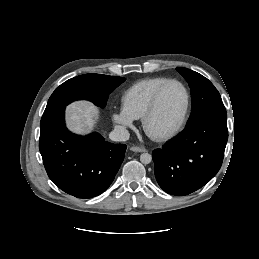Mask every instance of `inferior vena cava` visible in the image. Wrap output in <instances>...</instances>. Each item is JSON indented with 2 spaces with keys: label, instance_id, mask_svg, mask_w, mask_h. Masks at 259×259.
<instances>
[{
  "label": "inferior vena cava",
  "instance_id": "obj_1",
  "mask_svg": "<svg viewBox=\"0 0 259 259\" xmlns=\"http://www.w3.org/2000/svg\"><path fill=\"white\" fill-rule=\"evenodd\" d=\"M130 137V134L126 128L123 126H115L114 130L110 132L109 138L112 141H127Z\"/></svg>",
  "mask_w": 259,
  "mask_h": 259
}]
</instances>
